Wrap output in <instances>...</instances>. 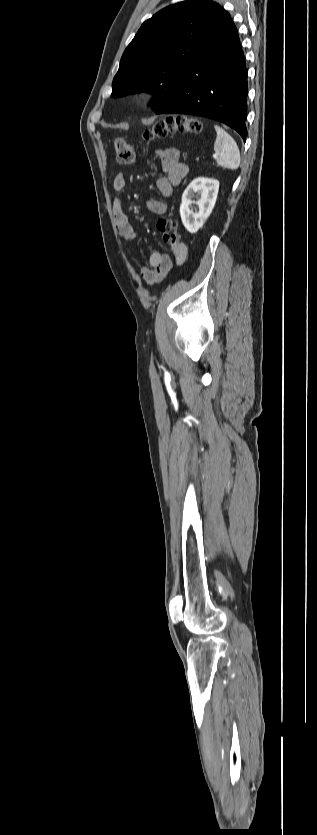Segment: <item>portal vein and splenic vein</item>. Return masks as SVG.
I'll use <instances>...</instances> for the list:
<instances>
[{
    "mask_svg": "<svg viewBox=\"0 0 317 835\" xmlns=\"http://www.w3.org/2000/svg\"><path fill=\"white\" fill-rule=\"evenodd\" d=\"M211 159H212V160H216V159H217V155H213Z\"/></svg>",
    "mask_w": 317,
    "mask_h": 835,
    "instance_id": "18ae733b",
    "label": "portal vein and splenic vein"
}]
</instances>
